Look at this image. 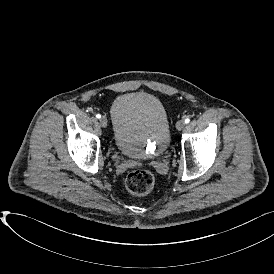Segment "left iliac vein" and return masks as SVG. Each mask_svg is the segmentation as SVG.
Here are the masks:
<instances>
[{"mask_svg":"<svg viewBox=\"0 0 274 274\" xmlns=\"http://www.w3.org/2000/svg\"><path fill=\"white\" fill-rule=\"evenodd\" d=\"M185 127V122L183 121V120H179V121H177V123H176V128H177V130H182L183 128Z\"/></svg>","mask_w":274,"mask_h":274,"instance_id":"left-iliac-vein-1","label":"left iliac vein"}]
</instances>
